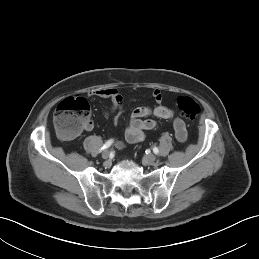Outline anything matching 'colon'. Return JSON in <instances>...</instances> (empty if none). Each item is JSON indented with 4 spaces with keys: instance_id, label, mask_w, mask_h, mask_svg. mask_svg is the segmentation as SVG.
I'll use <instances>...</instances> for the list:
<instances>
[{
    "instance_id": "1",
    "label": "colon",
    "mask_w": 259,
    "mask_h": 259,
    "mask_svg": "<svg viewBox=\"0 0 259 259\" xmlns=\"http://www.w3.org/2000/svg\"><path fill=\"white\" fill-rule=\"evenodd\" d=\"M177 107L182 116L194 120L199 114L198 103L191 97L179 96ZM91 122V109L88 102L81 97H69L57 106L54 114V127L66 139L78 136Z\"/></svg>"
}]
</instances>
